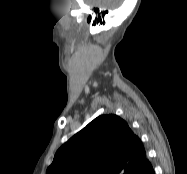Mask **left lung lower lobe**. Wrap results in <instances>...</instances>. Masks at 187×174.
Instances as JSON below:
<instances>
[{"mask_svg":"<svg viewBox=\"0 0 187 174\" xmlns=\"http://www.w3.org/2000/svg\"><path fill=\"white\" fill-rule=\"evenodd\" d=\"M132 174H155L151 164L144 169H142L141 172H136V169L132 172Z\"/></svg>","mask_w":187,"mask_h":174,"instance_id":"left-lung-lower-lobe-1","label":"left lung lower lobe"}]
</instances>
